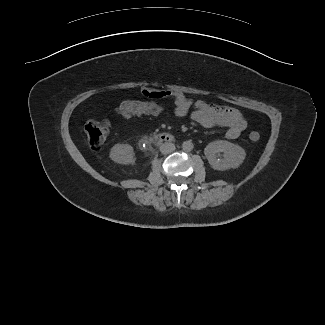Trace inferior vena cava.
<instances>
[{"mask_svg": "<svg viewBox=\"0 0 325 325\" xmlns=\"http://www.w3.org/2000/svg\"><path fill=\"white\" fill-rule=\"evenodd\" d=\"M162 154H169L175 151V145L173 143H164L160 146Z\"/></svg>", "mask_w": 325, "mask_h": 325, "instance_id": "602c4592", "label": "inferior vena cava"}]
</instances>
